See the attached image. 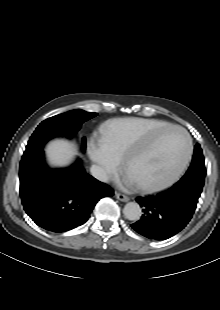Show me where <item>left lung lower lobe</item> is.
Instances as JSON below:
<instances>
[{"label":"left lung lower lobe","mask_w":220,"mask_h":310,"mask_svg":"<svg viewBox=\"0 0 220 310\" xmlns=\"http://www.w3.org/2000/svg\"><path fill=\"white\" fill-rule=\"evenodd\" d=\"M201 192L200 186L177 182L155 196L137 198L143 215L132 228L150 239L164 240L174 236L192 218Z\"/></svg>","instance_id":"left-lung-lower-lobe-1"}]
</instances>
